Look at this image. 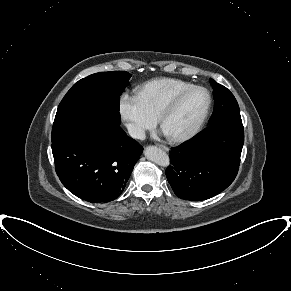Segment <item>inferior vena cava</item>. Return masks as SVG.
<instances>
[{"label":"inferior vena cava","instance_id":"obj_1","mask_svg":"<svg viewBox=\"0 0 291 291\" xmlns=\"http://www.w3.org/2000/svg\"><path fill=\"white\" fill-rule=\"evenodd\" d=\"M127 130L131 137L144 140L145 139V131L138 125L135 124H127Z\"/></svg>","mask_w":291,"mask_h":291}]
</instances>
